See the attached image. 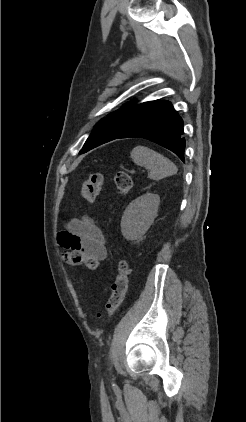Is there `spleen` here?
<instances>
[{
	"label": "spleen",
	"instance_id": "3e777b00",
	"mask_svg": "<svg viewBox=\"0 0 246 422\" xmlns=\"http://www.w3.org/2000/svg\"><path fill=\"white\" fill-rule=\"evenodd\" d=\"M131 158L135 164L148 169V177L153 180H160L177 173V167L172 161L145 146L133 148Z\"/></svg>",
	"mask_w": 246,
	"mask_h": 422
}]
</instances>
